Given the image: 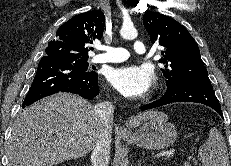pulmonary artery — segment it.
<instances>
[{
    "mask_svg": "<svg viewBox=\"0 0 231 166\" xmlns=\"http://www.w3.org/2000/svg\"><path fill=\"white\" fill-rule=\"evenodd\" d=\"M103 49L105 50L104 53L93 57L92 61L94 63L122 62L130 56V52L122 47L105 46ZM134 50L138 54L146 53V47L141 41H135Z\"/></svg>",
    "mask_w": 231,
    "mask_h": 166,
    "instance_id": "obj_1",
    "label": "pulmonary artery"
}]
</instances>
